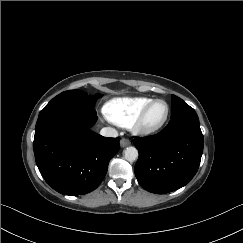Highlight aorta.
I'll use <instances>...</instances> for the list:
<instances>
[{
	"label": "aorta",
	"instance_id": "762f6f07",
	"mask_svg": "<svg viewBox=\"0 0 243 243\" xmlns=\"http://www.w3.org/2000/svg\"><path fill=\"white\" fill-rule=\"evenodd\" d=\"M124 158L129 162L135 161L138 158V150L133 146L127 147L124 150Z\"/></svg>",
	"mask_w": 243,
	"mask_h": 243
}]
</instances>
